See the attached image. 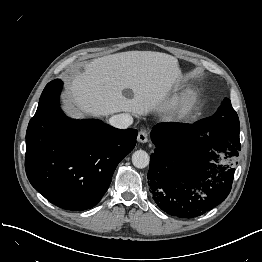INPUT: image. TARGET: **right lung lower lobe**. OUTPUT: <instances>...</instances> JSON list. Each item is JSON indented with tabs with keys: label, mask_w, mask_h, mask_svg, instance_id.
Segmentation results:
<instances>
[{
	"label": "right lung lower lobe",
	"mask_w": 262,
	"mask_h": 262,
	"mask_svg": "<svg viewBox=\"0 0 262 262\" xmlns=\"http://www.w3.org/2000/svg\"><path fill=\"white\" fill-rule=\"evenodd\" d=\"M63 86L49 82L26 132L25 169L32 186L52 204L86 210L101 200L119 162L136 145L137 130L100 120H73L59 106Z\"/></svg>",
	"instance_id": "right-lung-lower-lobe-1"
}]
</instances>
